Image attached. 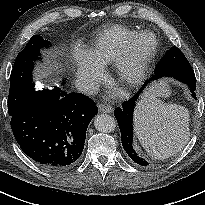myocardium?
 I'll return each mask as SVG.
<instances>
[{
	"instance_id": "f54148a6",
	"label": "myocardium",
	"mask_w": 205,
	"mask_h": 205,
	"mask_svg": "<svg viewBox=\"0 0 205 205\" xmlns=\"http://www.w3.org/2000/svg\"><path fill=\"white\" fill-rule=\"evenodd\" d=\"M156 49V39L152 32L137 34L128 51L115 61L118 82L126 88L140 85L146 78L148 64Z\"/></svg>"
}]
</instances>
